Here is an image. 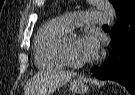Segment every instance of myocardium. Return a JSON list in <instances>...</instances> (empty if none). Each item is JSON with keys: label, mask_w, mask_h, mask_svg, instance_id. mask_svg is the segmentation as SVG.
I'll use <instances>...</instances> for the list:
<instances>
[{"label": "myocardium", "mask_w": 135, "mask_h": 95, "mask_svg": "<svg viewBox=\"0 0 135 95\" xmlns=\"http://www.w3.org/2000/svg\"><path fill=\"white\" fill-rule=\"evenodd\" d=\"M67 42L68 37H65L60 46V57L63 60L64 64L75 68L83 66V62H78L70 58L67 51Z\"/></svg>", "instance_id": "myocardium-1"}]
</instances>
